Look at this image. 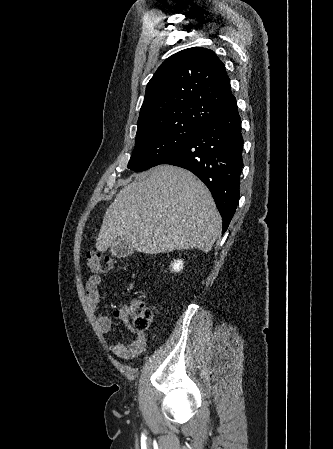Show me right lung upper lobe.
Instances as JSON below:
<instances>
[{
  "label": "right lung upper lobe",
  "instance_id": "obj_1",
  "mask_svg": "<svg viewBox=\"0 0 333 449\" xmlns=\"http://www.w3.org/2000/svg\"><path fill=\"white\" fill-rule=\"evenodd\" d=\"M223 62L206 48L166 59L146 87L137 135L170 123L204 126L236 107Z\"/></svg>",
  "mask_w": 333,
  "mask_h": 449
}]
</instances>
